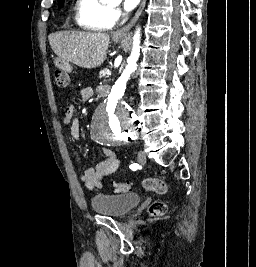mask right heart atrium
<instances>
[{
  "instance_id": "d8ad5b80",
  "label": "right heart atrium",
  "mask_w": 256,
  "mask_h": 267,
  "mask_svg": "<svg viewBox=\"0 0 256 267\" xmlns=\"http://www.w3.org/2000/svg\"><path fill=\"white\" fill-rule=\"evenodd\" d=\"M112 14L113 15H118L119 14V10H118L117 7L112 11Z\"/></svg>"
}]
</instances>
